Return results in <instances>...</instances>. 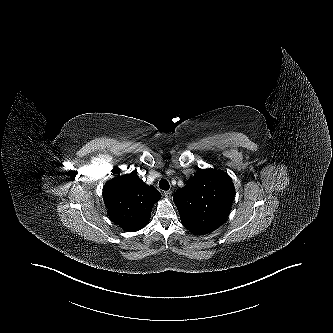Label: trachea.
Here are the masks:
<instances>
[{
  "instance_id": "trachea-1",
  "label": "trachea",
  "mask_w": 333,
  "mask_h": 333,
  "mask_svg": "<svg viewBox=\"0 0 333 333\" xmlns=\"http://www.w3.org/2000/svg\"><path fill=\"white\" fill-rule=\"evenodd\" d=\"M159 187L162 190H169L170 185H169V183L166 179H161L160 182H159Z\"/></svg>"
}]
</instances>
